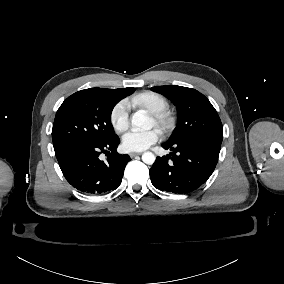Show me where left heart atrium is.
<instances>
[{"mask_svg":"<svg viewBox=\"0 0 284 284\" xmlns=\"http://www.w3.org/2000/svg\"><path fill=\"white\" fill-rule=\"evenodd\" d=\"M161 138L156 129L140 130L129 129L122 136V147L128 151H139L150 147Z\"/></svg>","mask_w":284,"mask_h":284,"instance_id":"obj_1","label":"left heart atrium"}]
</instances>
